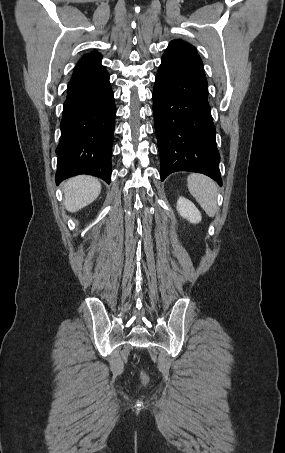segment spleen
I'll return each mask as SVG.
<instances>
[{
    "label": "spleen",
    "instance_id": "1",
    "mask_svg": "<svg viewBox=\"0 0 285 453\" xmlns=\"http://www.w3.org/2000/svg\"><path fill=\"white\" fill-rule=\"evenodd\" d=\"M187 185L190 193L206 214L214 217L218 209L216 183L205 175L190 174L187 177Z\"/></svg>",
    "mask_w": 285,
    "mask_h": 453
}]
</instances>
